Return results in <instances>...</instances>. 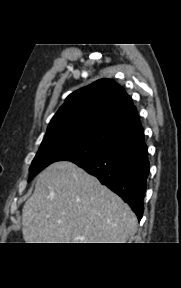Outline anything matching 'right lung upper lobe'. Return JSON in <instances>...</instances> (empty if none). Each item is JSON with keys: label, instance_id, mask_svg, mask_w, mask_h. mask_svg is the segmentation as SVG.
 <instances>
[{"label": "right lung upper lobe", "instance_id": "obj_1", "mask_svg": "<svg viewBox=\"0 0 181 288\" xmlns=\"http://www.w3.org/2000/svg\"><path fill=\"white\" fill-rule=\"evenodd\" d=\"M70 137L90 140L108 151L145 143L132 99L110 79L71 93L51 119L43 140Z\"/></svg>", "mask_w": 181, "mask_h": 288}]
</instances>
